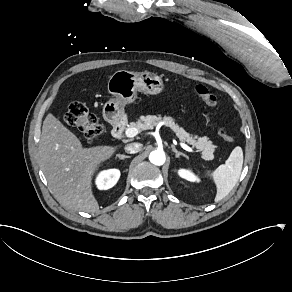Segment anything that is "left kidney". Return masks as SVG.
<instances>
[{
  "mask_svg": "<svg viewBox=\"0 0 292 292\" xmlns=\"http://www.w3.org/2000/svg\"><path fill=\"white\" fill-rule=\"evenodd\" d=\"M180 175L190 181H194L195 180V177L189 173L188 171H180Z\"/></svg>",
  "mask_w": 292,
  "mask_h": 292,
  "instance_id": "obj_1",
  "label": "left kidney"
}]
</instances>
